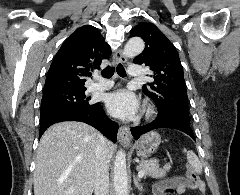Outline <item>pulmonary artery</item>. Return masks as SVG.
Listing matches in <instances>:
<instances>
[{"label": "pulmonary artery", "mask_w": 240, "mask_h": 195, "mask_svg": "<svg viewBox=\"0 0 240 195\" xmlns=\"http://www.w3.org/2000/svg\"><path fill=\"white\" fill-rule=\"evenodd\" d=\"M140 65H130V69L128 70V73L130 74L131 78H138V76H147V71H142ZM112 85V82L110 80H103V79H96L94 83H92L88 87L89 92H96L101 90L109 89Z\"/></svg>", "instance_id": "e3ab8cb5"}]
</instances>
